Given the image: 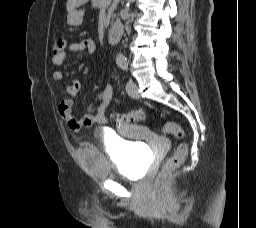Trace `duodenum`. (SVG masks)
<instances>
[{
	"mask_svg": "<svg viewBox=\"0 0 256 228\" xmlns=\"http://www.w3.org/2000/svg\"><path fill=\"white\" fill-rule=\"evenodd\" d=\"M123 34V26L119 23H116L112 26L108 33V43L111 45L117 44Z\"/></svg>",
	"mask_w": 256,
	"mask_h": 228,
	"instance_id": "1",
	"label": "duodenum"
}]
</instances>
